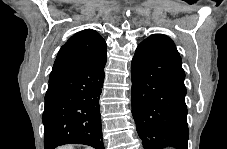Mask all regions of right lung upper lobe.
<instances>
[{
  "label": "right lung upper lobe",
  "mask_w": 227,
  "mask_h": 149,
  "mask_svg": "<svg viewBox=\"0 0 227 149\" xmlns=\"http://www.w3.org/2000/svg\"><path fill=\"white\" fill-rule=\"evenodd\" d=\"M106 52V42L95 30L77 32L59 50L49 81L96 66L107 60Z\"/></svg>",
  "instance_id": "1"
}]
</instances>
